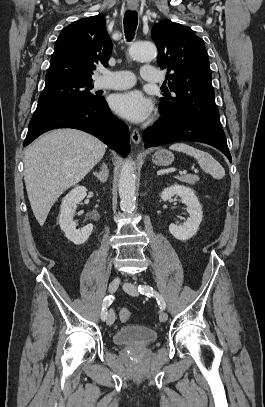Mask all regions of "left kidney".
Here are the masks:
<instances>
[{
	"instance_id": "5707ae66",
	"label": "left kidney",
	"mask_w": 265,
	"mask_h": 407,
	"mask_svg": "<svg viewBox=\"0 0 265 407\" xmlns=\"http://www.w3.org/2000/svg\"><path fill=\"white\" fill-rule=\"evenodd\" d=\"M173 196L181 198L182 203L187 206L189 217L183 224H170L169 231L176 239L185 241L192 238L198 231L203 218L202 206L194 191L189 187L174 184L165 188L161 193L163 201H167Z\"/></svg>"
}]
</instances>
